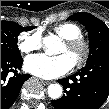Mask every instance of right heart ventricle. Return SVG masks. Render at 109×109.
Instances as JSON below:
<instances>
[{
  "label": "right heart ventricle",
  "instance_id": "1",
  "mask_svg": "<svg viewBox=\"0 0 109 109\" xmlns=\"http://www.w3.org/2000/svg\"><path fill=\"white\" fill-rule=\"evenodd\" d=\"M51 30L65 40L82 35L80 26L72 22L59 23L53 26Z\"/></svg>",
  "mask_w": 109,
  "mask_h": 109
}]
</instances>
